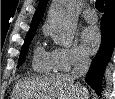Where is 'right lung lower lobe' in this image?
Here are the masks:
<instances>
[{
  "label": "right lung lower lobe",
  "instance_id": "right-lung-lower-lobe-1",
  "mask_svg": "<svg viewBox=\"0 0 115 99\" xmlns=\"http://www.w3.org/2000/svg\"><path fill=\"white\" fill-rule=\"evenodd\" d=\"M104 12L101 19V45L85 78L98 95L101 91L105 66L110 60L115 45V2L105 5Z\"/></svg>",
  "mask_w": 115,
  "mask_h": 99
}]
</instances>
